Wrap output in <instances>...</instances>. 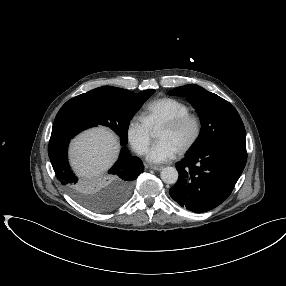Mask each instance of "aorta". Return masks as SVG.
Here are the masks:
<instances>
[{
  "label": "aorta",
  "instance_id": "1",
  "mask_svg": "<svg viewBox=\"0 0 286 286\" xmlns=\"http://www.w3.org/2000/svg\"><path fill=\"white\" fill-rule=\"evenodd\" d=\"M160 177L164 183L174 184L178 180V171L174 167H165L162 169Z\"/></svg>",
  "mask_w": 286,
  "mask_h": 286
}]
</instances>
